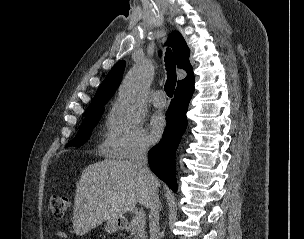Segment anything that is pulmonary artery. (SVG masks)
Returning a JSON list of instances; mask_svg holds the SVG:
<instances>
[{
	"label": "pulmonary artery",
	"mask_w": 304,
	"mask_h": 239,
	"mask_svg": "<svg viewBox=\"0 0 304 239\" xmlns=\"http://www.w3.org/2000/svg\"><path fill=\"white\" fill-rule=\"evenodd\" d=\"M151 100L155 107L162 108L166 105V98L163 91L161 90L154 92Z\"/></svg>",
	"instance_id": "obj_1"
}]
</instances>
